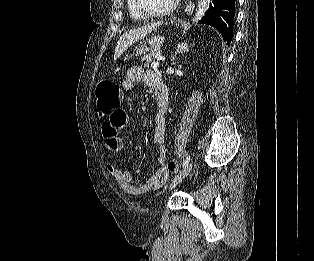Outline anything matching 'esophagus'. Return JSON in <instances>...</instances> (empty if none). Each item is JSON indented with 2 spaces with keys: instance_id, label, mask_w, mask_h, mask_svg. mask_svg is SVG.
Here are the masks:
<instances>
[{
  "instance_id": "1",
  "label": "esophagus",
  "mask_w": 314,
  "mask_h": 261,
  "mask_svg": "<svg viewBox=\"0 0 314 261\" xmlns=\"http://www.w3.org/2000/svg\"><path fill=\"white\" fill-rule=\"evenodd\" d=\"M193 7H194V5H193ZM193 7H192V10H193ZM191 12V7H190V9H189V13Z\"/></svg>"
}]
</instances>
